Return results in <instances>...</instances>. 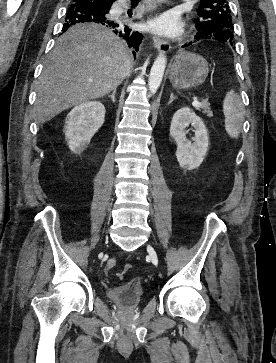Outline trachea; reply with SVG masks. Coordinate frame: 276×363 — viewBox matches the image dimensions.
<instances>
[{"instance_id":"1","label":"trachea","mask_w":276,"mask_h":363,"mask_svg":"<svg viewBox=\"0 0 276 363\" xmlns=\"http://www.w3.org/2000/svg\"><path fill=\"white\" fill-rule=\"evenodd\" d=\"M141 0H131L132 4L137 5Z\"/></svg>"}]
</instances>
